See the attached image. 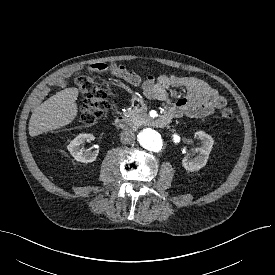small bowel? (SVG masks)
<instances>
[{"label":"small bowel","mask_w":275,"mask_h":275,"mask_svg":"<svg viewBox=\"0 0 275 275\" xmlns=\"http://www.w3.org/2000/svg\"><path fill=\"white\" fill-rule=\"evenodd\" d=\"M90 72H104L113 70L116 75L124 78L132 85L143 89L146 97L164 101L168 104L167 115L178 118L187 115L193 118L206 117L214 113L216 109L226 106V99L205 81L194 77H181L175 75H160L155 78L148 76L142 79L131 69L121 66L120 70H114L107 64L98 63L87 67ZM70 72L57 77L54 85L63 87ZM180 87L185 90V96L173 102L169 95V89Z\"/></svg>","instance_id":"obj_1"}]
</instances>
